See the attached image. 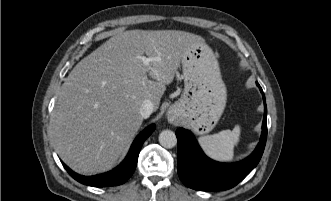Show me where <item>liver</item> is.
<instances>
[{
  "instance_id": "1",
  "label": "liver",
  "mask_w": 331,
  "mask_h": 201,
  "mask_svg": "<svg viewBox=\"0 0 331 201\" xmlns=\"http://www.w3.org/2000/svg\"><path fill=\"white\" fill-rule=\"evenodd\" d=\"M196 42L204 41L185 31L128 30L83 58L62 84L54 110L52 133L62 160L84 175L111 169L143 122V101L158 109ZM144 54L158 60L147 66Z\"/></svg>"
}]
</instances>
